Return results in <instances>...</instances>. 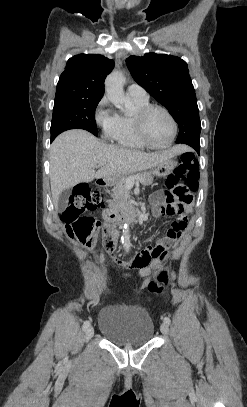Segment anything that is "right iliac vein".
<instances>
[{
	"instance_id": "63e3f726",
	"label": "right iliac vein",
	"mask_w": 247,
	"mask_h": 407,
	"mask_svg": "<svg viewBox=\"0 0 247 407\" xmlns=\"http://www.w3.org/2000/svg\"><path fill=\"white\" fill-rule=\"evenodd\" d=\"M94 335V328L93 327H89L87 328L86 332H85V341H89Z\"/></svg>"
}]
</instances>
